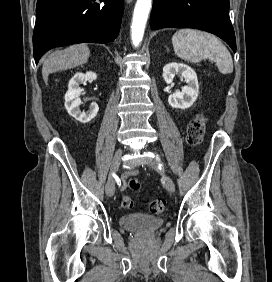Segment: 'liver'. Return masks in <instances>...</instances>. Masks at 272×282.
<instances>
[{"mask_svg": "<svg viewBox=\"0 0 272 282\" xmlns=\"http://www.w3.org/2000/svg\"><path fill=\"white\" fill-rule=\"evenodd\" d=\"M89 57L90 50L85 44L72 45L64 50L51 53L43 63L42 76L44 81H48V76L51 73L71 69L86 63Z\"/></svg>", "mask_w": 272, "mask_h": 282, "instance_id": "6515ba94", "label": "liver"}]
</instances>
